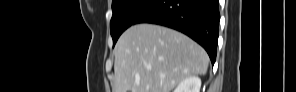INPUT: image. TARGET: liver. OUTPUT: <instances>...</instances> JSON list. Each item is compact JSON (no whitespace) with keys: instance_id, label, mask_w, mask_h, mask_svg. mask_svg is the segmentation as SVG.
I'll return each instance as SVG.
<instances>
[{"instance_id":"1","label":"liver","mask_w":296,"mask_h":92,"mask_svg":"<svg viewBox=\"0 0 296 92\" xmlns=\"http://www.w3.org/2000/svg\"><path fill=\"white\" fill-rule=\"evenodd\" d=\"M114 54V92H171L185 78L205 75L209 63L186 35L145 23L128 28Z\"/></svg>"}]
</instances>
